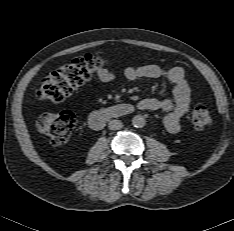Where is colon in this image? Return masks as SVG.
<instances>
[{
    "label": "colon",
    "instance_id": "colon-1",
    "mask_svg": "<svg viewBox=\"0 0 234 231\" xmlns=\"http://www.w3.org/2000/svg\"><path fill=\"white\" fill-rule=\"evenodd\" d=\"M110 61L99 56L85 54L66 63L57 71L46 76L37 90L43 100L63 101L73 91L110 66ZM212 118L207 107L199 103L191 114V123L202 131L211 125ZM76 117L72 112L44 113L38 119V128L55 145L65 144L74 129Z\"/></svg>",
    "mask_w": 234,
    "mask_h": 231
}]
</instances>
